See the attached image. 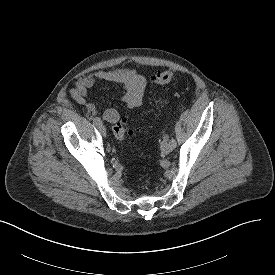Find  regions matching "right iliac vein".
Listing matches in <instances>:
<instances>
[{"label": "right iliac vein", "instance_id": "obj_1", "mask_svg": "<svg viewBox=\"0 0 275 275\" xmlns=\"http://www.w3.org/2000/svg\"><path fill=\"white\" fill-rule=\"evenodd\" d=\"M98 130L102 136H104V137L106 136V129L102 123L98 125Z\"/></svg>", "mask_w": 275, "mask_h": 275}]
</instances>
